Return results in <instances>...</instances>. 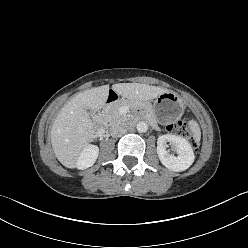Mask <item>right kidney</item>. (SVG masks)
<instances>
[{
    "label": "right kidney",
    "mask_w": 248,
    "mask_h": 248,
    "mask_svg": "<svg viewBox=\"0 0 248 248\" xmlns=\"http://www.w3.org/2000/svg\"><path fill=\"white\" fill-rule=\"evenodd\" d=\"M98 154L99 148L97 146L88 145L81 153L77 161L76 167L81 170L91 167L95 163Z\"/></svg>",
    "instance_id": "right-kidney-1"
}]
</instances>
